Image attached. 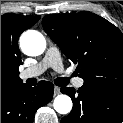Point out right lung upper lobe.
<instances>
[{
  "label": "right lung upper lobe",
  "instance_id": "obj_1",
  "mask_svg": "<svg viewBox=\"0 0 123 123\" xmlns=\"http://www.w3.org/2000/svg\"><path fill=\"white\" fill-rule=\"evenodd\" d=\"M40 17L13 13L1 15V88L13 89L25 85L19 78L22 61L18 39L21 33L32 27Z\"/></svg>",
  "mask_w": 123,
  "mask_h": 123
}]
</instances>
